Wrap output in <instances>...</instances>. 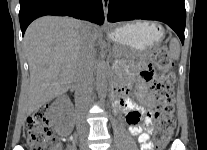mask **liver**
Listing matches in <instances>:
<instances>
[{
    "instance_id": "6515ba94",
    "label": "liver",
    "mask_w": 207,
    "mask_h": 150,
    "mask_svg": "<svg viewBox=\"0 0 207 150\" xmlns=\"http://www.w3.org/2000/svg\"><path fill=\"white\" fill-rule=\"evenodd\" d=\"M84 23L74 18L45 16L32 22L24 36L30 82L22 109L26 116L65 93L74 81ZM94 41L96 25L88 24Z\"/></svg>"
}]
</instances>
